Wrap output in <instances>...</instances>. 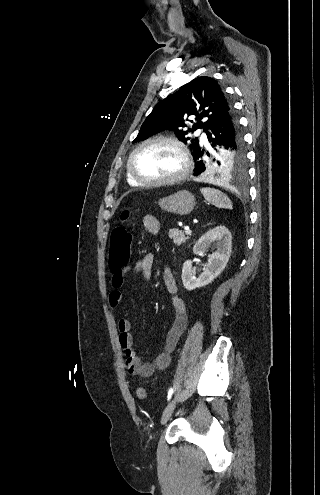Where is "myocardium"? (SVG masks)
Listing matches in <instances>:
<instances>
[{
    "instance_id": "f54148a6",
    "label": "myocardium",
    "mask_w": 320,
    "mask_h": 495,
    "mask_svg": "<svg viewBox=\"0 0 320 495\" xmlns=\"http://www.w3.org/2000/svg\"><path fill=\"white\" fill-rule=\"evenodd\" d=\"M156 142L169 143L176 148V150L179 152L181 156V161H182L181 169L178 171V173L168 178L152 179V180L142 178L136 173L134 169L133 163H134L135 155L143 147ZM190 166H191V161L186 146L180 140L166 135L155 136L144 140L132 150L127 160V172L129 173L131 178L141 186H166V185L176 184L187 176L190 170Z\"/></svg>"
}]
</instances>
